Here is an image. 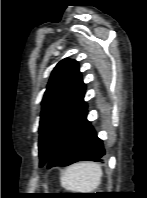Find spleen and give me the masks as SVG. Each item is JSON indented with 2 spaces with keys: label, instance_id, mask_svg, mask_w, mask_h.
<instances>
[{
  "label": "spleen",
  "instance_id": "3e777b00",
  "mask_svg": "<svg viewBox=\"0 0 147 198\" xmlns=\"http://www.w3.org/2000/svg\"><path fill=\"white\" fill-rule=\"evenodd\" d=\"M102 171L97 163L81 162L62 172L61 185L74 193H92L100 184Z\"/></svg>",
  "mask_w": 147,
  "mask_h": 198
}]
</instances>
